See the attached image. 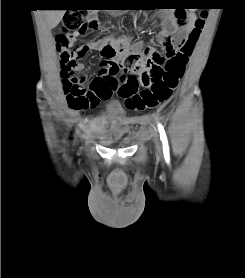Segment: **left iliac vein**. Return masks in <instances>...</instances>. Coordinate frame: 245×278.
<instances>
[{
    "instance_id": "left-iliac-vein-1",
    "label": "left iliac vein",
    "mask_w": 245,
    "mask_h": 278,
    "mask_svg": "<svg viewBox=\"0 0 245 278\" xmlns=\"http://www.w3.org/2000/svg\"><path fill=\"white\" fill-rule=\"evenodd\" d=\"M152 136H153V142L155 145L156 154L158 157H162V145H161V141L159 139L158 132L153 130Z\"/></svg>"
}]
</instances>
